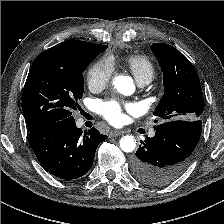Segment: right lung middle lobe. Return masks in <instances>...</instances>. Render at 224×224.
Listing matches in <instances>:
<instances>
[{"mask_svg":"<svg viewBox=\"0 0 224 224\" xmlns=\"http://www.w3.org/2000/svg\"><path fill=\"white\" fill-rule=\"evenodd\" d=\"M107 45L90 55L74 59L34 60L23 96L22 110L28 129L47 122L73 120L72 110L84 92L83 72Z\"/></svg>","mask_w":224,"mask_h":224,"instance_id":"right-lung-middle-lobe-1","label":"right lung middle lobe"}]
</instances>
